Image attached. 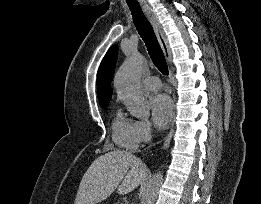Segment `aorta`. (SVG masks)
Here are the masks:
<instances>
[{"label": "aorta", "instance_id": "aorta-1", "mask_svg": "<svg viewBox=\"0 0 261 204\" xmlns=\"http://www.w3.org/2000/svg\"><path fill=\"white\" fill-rule=\"evenodd\" d=\"M145 65V58L135 52L122 64L114 79L119 98L129 113L137 118H147L150 114L148 102L140 89V77ZM162 182L163 174H154L144 190L140 204H154Z\"/></svg>", "mask_w": 261, "mask_h": 204}]
</instances>
